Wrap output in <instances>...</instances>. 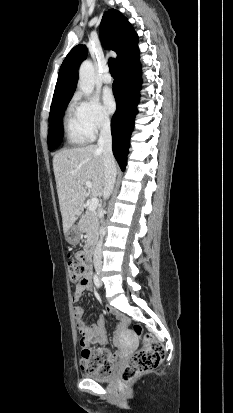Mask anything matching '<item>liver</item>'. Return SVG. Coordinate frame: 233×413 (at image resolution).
I'll use <instances>...</instances> for the list:
<instances>
[{"label":"liver","mask_w":233,"mask_h":413,"mask_svg":"<svg viewBox=\"0 0 233 413\" xmlns=\"http://www.w3.org/2000/svg\"><path fill=\"white\" fill-rule=\"evenodd\" d=\"M63 232L66 235L81 214L87 196L103 195L105 166L97 145L63 149L53 157ZM93 185L87 192L85 182Z\"/></svg>","instance_id":"obj_1"}]
</instances>
